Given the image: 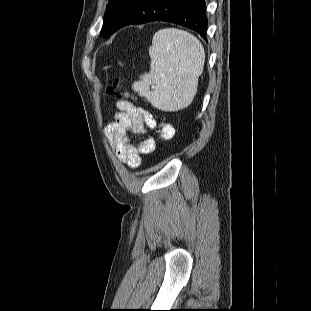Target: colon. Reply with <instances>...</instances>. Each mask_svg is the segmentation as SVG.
<instances>
[{"label":"colon","instance_id":"obj_1","mask_svg":"<svg viewBox=\"0 0 311 311\" xmlns=\"http://www.w3.org/2000/svg\"><path fill=\"white\" fill-rule=\"evenodd\" d=\"M119 86H120V81H119V80H116V81L114 82V84L110 87L109 92H110V93H114L115 90H116L117 88H119ZM126 95H129V94H126Z\"/></svg>","mask_w":311,"mask_h":311}]
</instances>
